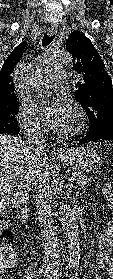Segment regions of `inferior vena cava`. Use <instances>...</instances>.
I'll return each instance as SVG.
<instances>
[{
  "label": "inferior vena cava",
  "mask_w": 113,
  "mask_h": 279,
  "mask_svg": "<svg viewBox=\"0 0 113 279\" xmlns=\"http://www.w3.org/2000/svg\"><path fill=\"white\" fill-rule=\"evenodd\" d=\"M28 148L36 155L42 156L45 150V141L38 127H33L28 134ZM48 178L45 175H39L34 184L36 191V208L41 230L42 241L44 245V267L46 273L57 274L59 269V244L56 228L54 226L51 190L48 184Z\"/></svg>",
  "instance_id": "obj_1"
}]
</instances>
